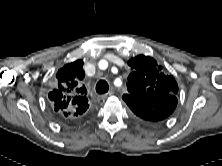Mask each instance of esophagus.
I'll return each mask as SVG.
<instances>
[{"instance_id": "obj_1", "label": "esophagus", "mask_w": 222, "mask_h": 166, "mask_svg": "<svg viewBox=\"0 0 222 166\" xmlns=\"http://www.w3.org/2000/svg\"><path fill=\"white\" fill-rule=\"evenodd\" d=\"M114 94L113 90L109 91L108 93L103 94L101 97L102 99H107L110 96H112Z\"/></svg>"}]
</instances>
